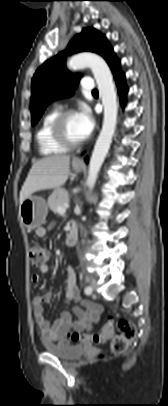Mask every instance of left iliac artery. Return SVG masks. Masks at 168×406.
<instances>
[{
    "instance_id": "obj_1",
    "label": "left iliac artery",
    "mask_w": 168,
    "mask_h": 406,
    "mask_svg": "<svg viewBox=\"0 0 168 406\" xmlns=\"http://www.w3.org/2000/svg\"><path fill=\"white\" fill-rule=\"evenodd\" d=\"M92 291H93V289H92V287H90V286H87V287L85 288V290H84V292H85L86 295H90V294L92 293Z\"/></svg>"
}]
</instances>
